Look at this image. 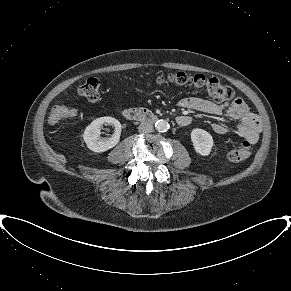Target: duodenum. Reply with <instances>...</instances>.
Listing matches in <instances>:
<instances>
[{"mask_svg":"<svg viewBox=\"0 0 291 291\" xmlns=\"http://www.w3.org/2000/svg\"><path fill=\"white\" fill-rule=\"evenodd\" d=\"M123 116L130 121L154 122L157 116L145 108H129L124 110Z\"/></svg>","mask_w":291,"mask_h":291,"instance_id":"duodenum-1","label":"duodenum"}]
</instances>
